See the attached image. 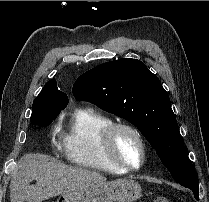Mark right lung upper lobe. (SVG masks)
<instances>
[{
	"label": "right lung upper lobe",
	"mask_w": 209,
	"mask_h": 202,
	"mask_svg": "<svg viewBox=\"0 0 209 202\" xmlns=\"http://www.w3.org/2000/svg\"><path fill=\"white\" fill-rule=\"evenodd\" d=\"M51 94L52 97L48 101L49 104L54 105L56 107H62L65 108L68 104V97L65 93L58 90V87L56 86L55 79H51L48 81L40 94Z\"/></svg>",
	"instance_id": "1"
}]
</instances>
